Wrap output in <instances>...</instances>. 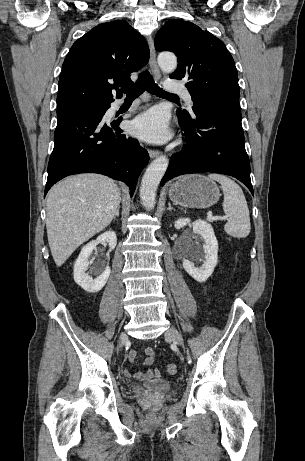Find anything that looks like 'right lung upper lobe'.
<instances>
[{"mask_svg": "<svg viewBox=\"0 0 305 461\" xmlns=\"http://www.w3.org/2000/svg\"><path fill=\"white\" fill-rule=\"evenodd\" d=\"M149 55L144 37L126 21L94 27L73 44L63 62L58 110L84 104H110L114 101L111 90L132 84L130 74L146 65Z\"/></svg>", "mask_w": 305, "mask_h": 461, "instance_id": "right-lung-upper-lobe-1", "label": "right lung upper lobe"}]
</instances>
